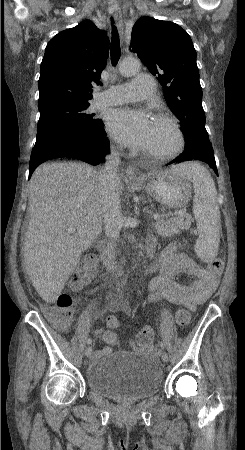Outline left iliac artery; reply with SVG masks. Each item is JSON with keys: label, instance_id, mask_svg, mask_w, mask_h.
<instances>
[{"label": "left iliac artery", "instance_id": "1", "mask_svg": "<svg viewBox=\"0 0 245 450\" xmlns=\"http://www.w3.org/2000/svg\"><path fill=\"white\" fill-rule=\"evenodd\" d=\"M160 346H161L162 349L165 348V344L163 342H160Z\"/></svg>", "mask_w": 245, "mask_h": 450}]
</instances>
